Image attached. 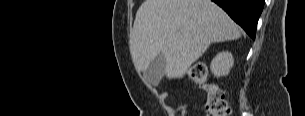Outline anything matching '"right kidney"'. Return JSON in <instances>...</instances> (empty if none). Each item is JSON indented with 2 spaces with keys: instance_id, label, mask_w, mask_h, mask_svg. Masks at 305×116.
<instances>
[{
  "instance_id": "1",
  "label": "right kidney",
  "mask_w": 305,
  "mask_h": 116,
  "mask_svg": "<svg viewBox=\"0 0 305 116\" xmlns=\"http://www.w3.org/2000/svg\"><path fill=\"white\" fill-rule=\"evenodd\" d=\"M234 59L231 53L223 51L216 55L212 60L210 68L214 76L221 77L228 75L230 69L233 67Z\"/></svg>"
}]
</instances>
